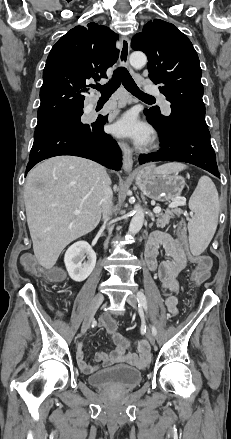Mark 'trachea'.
Returning <instances> with one entry per match:
<instances>
[{"instance_id":"trachea-1","label":"trachea","mask_w":231,"mask_h":439,"mask_svg":"<svg viewBox=\"0 0 231 439\" xmlns=\"http://www.w3.org/2000/svg\"><path fill=\"white\" fill-rule=\"evenodd\" d=\"M125 87L132 95L142 100H155L151 95L142 92L132 76L125 67L117 68L112 76V79L105 85H95L94 88L101 92L102 97H110L121 85Z\"/></svg>"}]
</instances>
